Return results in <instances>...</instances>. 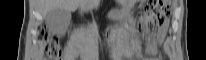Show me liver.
<instances>
[{
    "label": "liver",
    "mask_w": 206,
    "mask_h": 60,
    "mask_svg": "<svg viewBox=\"0 0 206 60\" xmlns=\"http://www.w3.org/2000/svg\"><path fill=\"white\" fill-rule=\"evenodd\" d=\"M88 0H39V8L43 15L48 14L54 9H64L73 11Z\"/></svg>",
    "instance_id": "6515ba94"
}]
</instances>
